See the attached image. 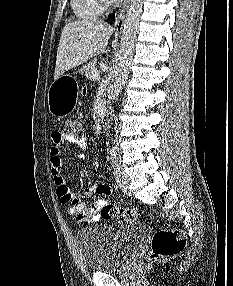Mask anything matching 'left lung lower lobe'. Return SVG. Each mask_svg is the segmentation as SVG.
Segmentation results:
<instances>
[{
	"label": "left lung lower lobe",
	"instance_id": "left-lung-lower-lobe-1",
	"mask_svg": "<svg viewBox=\"0 0 233 286\" xmlns=\"http://www.w3.org/2000/svg\"><path fill=\"white\" fill-rule=\"evenodd\" d=\"M114 18H115V15H114V14H111V15L108 17V19H109L110 21H113Z\"/></svg>",
	"mask_w": 233,
	"mask_h": 286
}]
</instances>
